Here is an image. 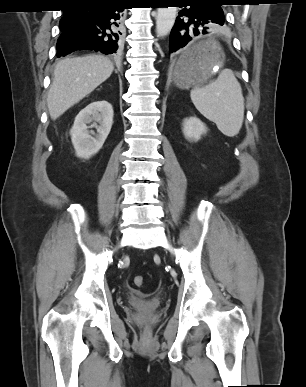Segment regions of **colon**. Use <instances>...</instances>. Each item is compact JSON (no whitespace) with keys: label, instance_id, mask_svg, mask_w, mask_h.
<instances>
[{"label":"colon","instance_id":"colon-1","mask_svg":"<svg viewBox=\"0 0 306 387\" xmlns=\"http://www.w3.org/2000/svg\"><path fill=\"white\" fill-rule=\"evenodd\" d=\"M133 283L136 287H143L144 284H145V279L143 276H135L134 279H133ZM148 330L146 329L145 332H147Z\"/></svg>","mask_w":306,"mask_h":387}]
</instances>
